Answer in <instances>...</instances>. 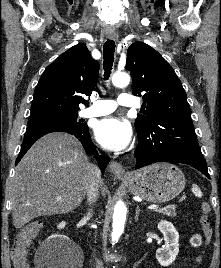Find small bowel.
Here are the masks:
<instances>
[{"label": "small bowel", "instance_id": "obj_1", "mask_svg": "<svg viewBox=\"0 0 221 268\" xmlns=\"http://www.w3.org/2000/svg\"><path fill=\"white\" fill-rule=\"evenodd\" d=\"M190 244L192 247L196 248L201 244V236L198 233H195L190 238Z\"/></svg>", "mask_w": 221, "mask_h": 268}]
</instances>
